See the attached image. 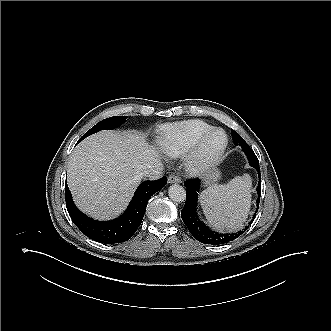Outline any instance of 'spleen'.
I'll return each mask as SVG.
<instances>
[{
	"mask_svg": "<svg viewBox=\"0 0 331 331\" xmlns=\"http://www.w3.org/2000/svg\"><path fill=\"white\" fill-rule=\"evenodd\" d=\"M251 177L236 176L226 184H214L200 195L207 220L217 229L236 231L243 227L251 203Z\"/></svg>",
	"mask_w": 331,
	"mask_h": 331,
	"instance_id": "1",
	"label": "spleen"
}]
</instances>
